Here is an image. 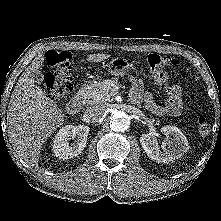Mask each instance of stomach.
<instances>
[{
    "label": "stomach",
    "instance_id": "stomach-1",
    "mask_svg": "<svg viewBox=\"0 0 221 221\" xmlns=\"http://www.w3.org/2000/svg\"><path fill=\"white\" fill-rule=\"evenodd\" d=\"M108 67V71L111 75L116 77H124L128 73L131 64L124 57H116L110 61Z\"/></svg>",
    "mask_w": 221,
    "mask_h": 221
}]
</instances>
